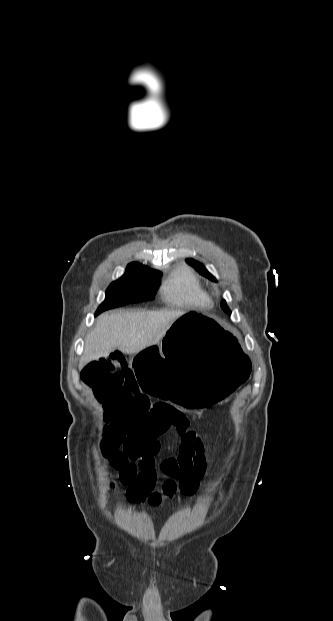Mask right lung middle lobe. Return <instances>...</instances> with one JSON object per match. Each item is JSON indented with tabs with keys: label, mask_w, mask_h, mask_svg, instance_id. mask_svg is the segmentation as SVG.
Listing matches in <instances>:
<instances>
[{
	"label": "right lung middle lobe",
	"mask_w": 333,
	"mask_h": 621,
	"mask_svg": "<svg viewBox=\"0 0 333 621\" xmlns=\"http://www.w3.org/2000/svg\"><path fill=\"white\" fill-rule=\"evenodd\" d=\"M160 271L138 265H128L125 274L106 290V298L98 307L99 313L128 303L153 300L159 286Z\"/></svg>",
	"instance_id": "obj_1"
}]
</instances>
